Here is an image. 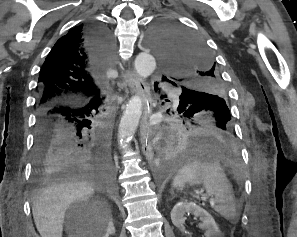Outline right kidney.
Masks as SVG:
<instances>
[{
  "label": "right kidney",
  "instance_id": "obj_1",
  "mask_svg": "<svg viewBox=\"0 0 297 237\" xmlns=\"http://www.w3.org/2000/svg\"><path fill=\"white\" fill-rule=\"evenodd\" d=\"M115 233V227L113 222L109 221L104 233H101L99 229H95L92 233L86 235L90 237H109V235H112Z\"/></svg>",
  "mask_w": 297,
  "mask_h": 237
}]
</instances>
